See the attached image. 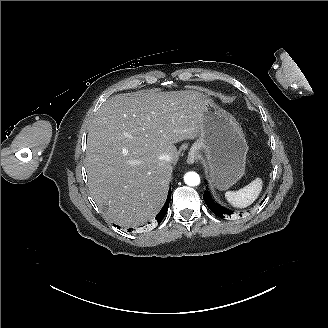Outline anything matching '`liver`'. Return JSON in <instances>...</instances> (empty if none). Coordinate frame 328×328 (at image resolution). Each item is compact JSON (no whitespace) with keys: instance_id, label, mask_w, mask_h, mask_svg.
I'll use <instances>...</instances> for the list:
<instances>
[{"instance_id":"obj_1","label":"liver","mask_w":328,"mask_h":328,"mask_svg":"<svg viewBox=\"0 0 328 328\" xmlns=\"http://www.w3.org/2000/svg\"><path fill=\"white\" fill-rule=\"evenodd\" d=\"M202 103L197 90L151 89L115 95L97 110L84 166L105 218L134 227L159 211L179 159L174 144L198 137ZM165 153L170 161L160 159Z\"/></svg>"}]
</instances>
